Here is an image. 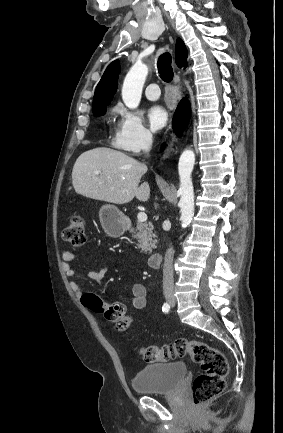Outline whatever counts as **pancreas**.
<instances>
[{"instance_id": "1", "label": "pancreas", "mask_w": 283, "mask_h": 433, "mask_svg": "<svg viewBox=\"0 0 283 433\" xmlns=\"http://www.w3.org/2000/svg\"><path fill=\"white\" fill-rule=\"evenodd\" d=\"M130 233H134V239H138V247L141 249V253H146V255H151L152 249L156 241H154L156 235L153 233V227H147L143 223H137L135 229H130Z\"/></svg>"}]
</instances>
